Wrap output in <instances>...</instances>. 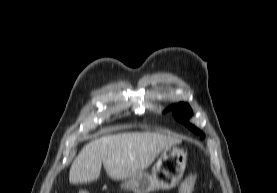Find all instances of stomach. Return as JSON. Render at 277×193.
<instances>
[{
    "mask_svg": "<svg viewBox=\"0 0 277 193\" xmlns=\"http://www.w3.org/2000/svg\"><path fill=\"white\" fill-rule=\"evenodd\" d=\"M187 162V153L180 148H165L152 167L151 172H142L125 179L121 188L134 193H151L156 190H169L181 180Z\"/></svg>",
    "mask_w": 277,
    "mask_h": 193,
    "instance_id": "stomach-1",
    "label": "stomach"
}]
</instances>
